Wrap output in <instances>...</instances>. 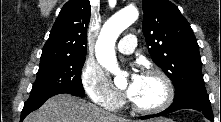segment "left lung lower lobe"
<instances>
[{"mask_svg":"<svg viewBox=\"0 0 221 122\" xmlns=\"http://www.w3.org/2000/svg\"><path fill=\"white\" fill-rule=\"evenodd\" d=\"M186 108L200 111L205 115L207 119L214 121L212 108L207 92H195L186 94L181 98L174 100L173 104L164 111L154 115L143 116L140 117V119H149L153 117L163 116L171 112Z\"/></svg>","mask_w":221,"mask_h":122,"instance_id":"0a47b994","label":"left lung lower lobe"}]
</instances>
